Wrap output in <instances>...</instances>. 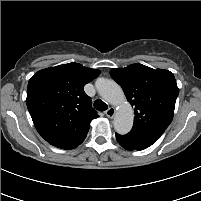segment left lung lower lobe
Returning a JSON list of instances; mask_svg holds the SVG:
<instances>
[{"instance_id":"1","label":"left lung lower lobe","mask_w":201,"mask_h":201,"mask_svg":"<svg viewBox=\"0 0 201 201\" xmlns=\"http://www.w3.org/2000/svg\"><path fill=\"white\" fill-rule=\"evenodd\" d=\"M161 135L154 133L134 132L121 136L116 133L118 143L128 151H141L155 143Z\"/></svg>"}]
</instances>
